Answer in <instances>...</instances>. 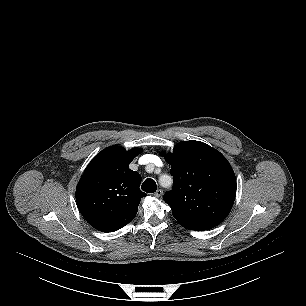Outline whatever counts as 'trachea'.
<instances>
[{"label": "trachea", "mask_w": 306, "mask_h": 306, "mask_svg": "<svg viewBox=\"0 0 306 306\" xmlns=\"http://www.w3.org/2000/svg\"><path fill=\"white\" fill-rule=\"evenodd\" d=\"M142 190L147 192V193H154L156 191V182L153 179H146L142 186Z\"/></svg>", "instance_id": "3493384b"}]
</instances>
